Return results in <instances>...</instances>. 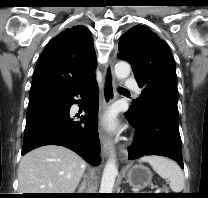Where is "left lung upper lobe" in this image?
Returning a JSON list of instances; mask_svg holds the SVG:
<instances>
[{
  "label": "left lung upper lobe",
  "instance_id": "5c2ea615",
  "mask_svg": "<svg viewBox=\"0 0 208 198\" xmlns=\"http://www.w3.org/2000/svg\"><path fill=\"white\" fill-rule=\"evenodd\" d=\"M118 57L131 64L142 88L128 113L135 115L157 104L178 117L175 62L165 41L144 25L134 26L120 38Z\"/></svg>",
  "mask_w": 208,
  "mask_h": 198
}]
</instances>
